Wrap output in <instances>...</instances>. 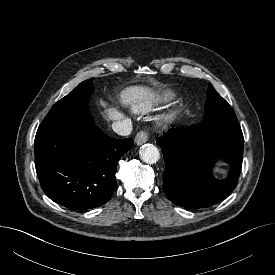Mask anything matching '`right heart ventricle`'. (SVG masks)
I'll return each mask as SVG.
<instances>
[{
    "label": "right heart ventricle",
    "instance_id": "1",
    "mask_svg": "<svg viewBox=\"0 0 275 275\" xmlns=\"http://www.w3.org/2000/svg\"><path fill=\"white\" fill-rule=\"evenodd\" d=\"M172 93L165 91L157 95H150L141 99L136 105L135 110L142 113H147L153 110L159 102H166L172 98Z\"/></svg>",
    "mask_w": 275,
    "mask_h": 275
}]
</instances>
